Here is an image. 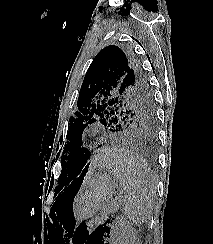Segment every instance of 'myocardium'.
Listing matches in <instances>:
<instances>
[{"instance_id": "obj_1", "label": "myocardium", "mask_w": 213, "mask_h": 244, "mask_svg": "<svg viewBox=\"0 0 213 244\" xmlns=\"http://www.w3.org/2000/svg\"><path fill=\"white\" fill-rule=\"evenodd\" d=\"M86 134L89 136H94L96 134V129L95 128H90L86 131Z\"/></svg>"}]
</instances>
